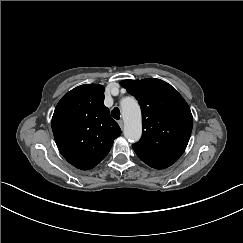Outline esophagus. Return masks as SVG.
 I'll list each match as a JSON object with an SVG mask.
<instances>
[{"instance_id": "obj_1", "label": "esophagus", "mask_w": 243, "mask_h": 243, "mask_svg": "<svg viewBox=\"0 0 243 243\" xmlns=\"http://www.w3.org/2000/svg\"><path fill=\"white\" fill-rule=\"evenodd\" d=\"M118 124H119L120 128L123 129V126H124L123 121H122V120H119V121H118Z\"/></svg>"}]
</instances>
